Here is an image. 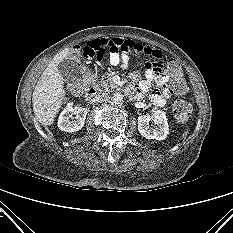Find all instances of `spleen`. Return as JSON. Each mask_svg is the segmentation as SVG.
Segmentation results:
<instances>
[{"label": "spleen", "mask_w": 233, "mask_h": 233, "mask_svg": "<svg viewBox=\"0 0 233 233\" xmlns=\"http://www.w3.org/2000/svg\"><path fill=\"white\" fill-rule=\"evenodd\" d=\"M189 134V131L187 130V131H185L183 134H182V139H185L186 138V136Z\"/></svg>", "instance_id": "1"}]
</instances>
